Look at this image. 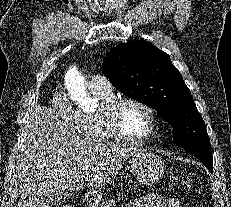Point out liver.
<instances>
[{
	"mask_svg": "<svg viewBox=\"0 0 231 207\" xmlns=\"http://www.w3.org/2000/svg\"><path fill=\"white\" fill-rule=\"evenodd\" d=\"M131 144L80 138L54 109L37 106L24 129L17 158L18 207H49L59 189L99 188L111 182L132 154Z\"/></svg>",
	"mask_w": 231,
	"mask_h": 207,
	"instance_id": "6515ba94",
	"label": "liver"
}]
</instances>
